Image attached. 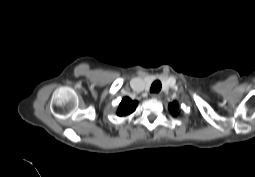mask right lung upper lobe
Masks as SVG:
<instances>
[{
	"label": "right lung upper lobe",
	"mask_w": 255,
	"mask_h": 177,
	"mask_svg": "<svg viewBox=\"0 0 255 177\" xmlns=\"http://www.w3.org/2000/svg\"><path fill=\"white\" fill-rule=\"evenodd\" d=\"M137 103L138 101H133L129 97H124L117 109V115L121 117L130 115L135 111Z\"/></svg>",
	"instance_id": "obj_1"
}]
</instances>
